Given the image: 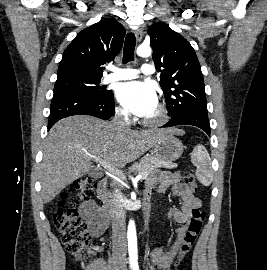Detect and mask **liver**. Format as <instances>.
<instances>
[{"mask_svg":"<svg viewBox=\"0 0 267 270\" xmlns=\"http://www.w3.org/2000/svg\"><path fill=\"white\" fill-rule=\"evenodd\" d=\"M178 129L133 131L119 129L88 115H75L57 122L45 140L40 165L41 194L49 203L74 180L91 169V160H107L113 167H125Z\"/></svg>","mask_w":267,"mask_h":270,"instance_id":"liver-1","label":"liver"}]
</instances>
